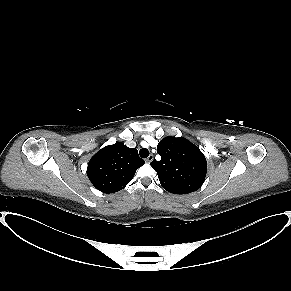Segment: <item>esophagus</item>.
<instances>
[{"mask_svg":"<svg viewBox=\"0 0 291 291\" xmlns=\"http://www.w3.org/2000/svg\"><path fill=\"white\" fill-rule=\"evenodd\" d=\"M153 159H154V156H153L152 154H150V155L145 159V161H146L147 163H151V162L153 161Z\"/></svg>","mask_w":291,"mask_h":291,"instance_id":"obj_1","label":"esophagus"}]
</instances>
